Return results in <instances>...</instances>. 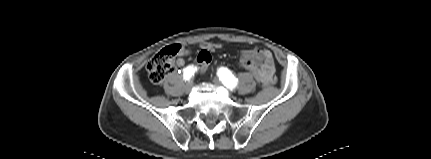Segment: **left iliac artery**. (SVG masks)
Here are the masks:
<instances>
[{
	"mask_svg": "<svg viewBox=\"0 0 431 159\" xmlns=\"http://www.w3.org/2000/svg\"><path fill=\"white\" fill-rule=\"evenodd\" d=\"M217 75L227 88L233 90L237 86L238 79L227 68H219Z\"/></svg>",
	"mask_w": 431,
	"mask_h": 159,
	"instance_id": "left-iliac-artery-1",
	"label": "left iliac artery"
}]
</instances>
